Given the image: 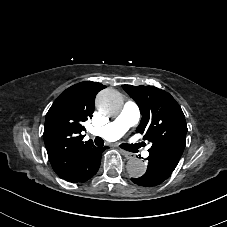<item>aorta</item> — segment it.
<instances>
[{
  "instance_id": "obj_1",
  "label": "aorta",
  "mask_w": 227,
  "mask_h": 227,
  "mask_svg": "<svg viewBox=\"0 0 227 227\" xmlns=\"http://www.w3.org/2000/svg\"><path fill=\"white\" fill-rule=\"evenodd\" d=\"M96 106L106 116L118 114L123 107L121 94L113 89L101 91L96 98ZM127 172L133 178H139L146 173V164L141 159L132 158L127 162Z\"/></svg>"
}]
</instances>
